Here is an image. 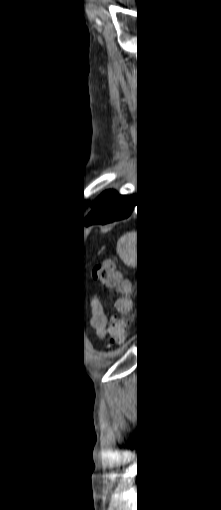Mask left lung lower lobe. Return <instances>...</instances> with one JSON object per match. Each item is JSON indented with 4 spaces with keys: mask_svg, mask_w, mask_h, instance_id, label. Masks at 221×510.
Instances as JSON below:
<instances>
[{
    "mask_svg": "<svg viewBox=\"0 0 221 510\" xmlns=\"http://www.w3.org/2000/svg\"><path fill=\"white\" fill-rule=\"evenodd\" d=\"M142 204V199L139 193L134 196L132 193L125 192L118 194V196L107 206L97 211H90L84 222L87 225L92 224H107L114 221H118L124 218H128L137 207L138 214V239L139 235L143 236V219L139 215V208ZM142 221V222H141ZM142 223V224H141Z\"/></svg>",
    "mask_w": 221,
    "mask_h": 510,
    "instance_id": "obj_1",
    "label": "left lung lower lobe"
}]
</instances>
